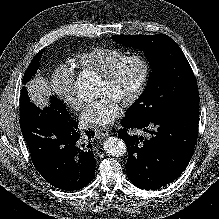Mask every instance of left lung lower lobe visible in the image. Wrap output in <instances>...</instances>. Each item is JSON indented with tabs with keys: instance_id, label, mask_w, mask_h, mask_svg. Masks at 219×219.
<instances>
[{
	"instance_id": "1",
	"label": "left lung lower lobe",
	"mask_w": 219,
	"mask_h": 219,
	"mask_svg": "<svg viewBox=\"0 0 219 219\" xmlns=\"http://www.w3.org/2000/svg\"><path fill=\"white\" fill-rule=\"evenodd\" d=\"M199 109L185 110L164 118L136 120L125 117L118 136L126 143V170L130 181L141 189L154 190L174 181L187 167L198 137ZM127 129L151 134L139 142Z\"/></svg>"
}]
</instances>
